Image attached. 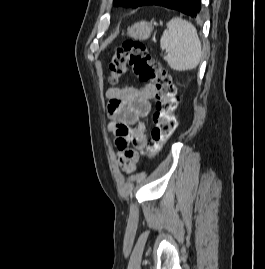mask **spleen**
Returning <instances> with one entry per match:
<instances>
[{
    "instance_id": "obj_1",
    "label": "spleen",
    "mask_w": 265,
    "mask_h": 269,
    "mask_svg": "<svg viewBox=\"0 0 265 269\" xmlns=\"http://www.w3.org/2000/svg\"><path fill=\"white\" fill-rule=\"evenodd\" d=\"M160 47L166 53L164 60L176 71L195 69L202 55L196 28L179 17H174L167 23V29L160 39Z\"/></svg>"
}]
</instances>
